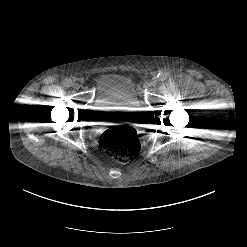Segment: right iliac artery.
Here are the masks:
<instances>
[{"mask_svg":"<svg viewBox=\"0 0 247 247\" xmlns=\"http://www.w3.org/2000/svg\"><path fill=\"white\" fill-rule=\"evenodd\" d=\"M65 87H71L72 85V81L70 79H65V81L63 82Z\"/></svg>","mask_w":247,"mask_h":247,"instance_id":"obj_1","label":"right iliac artery"}]
</instances>
